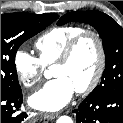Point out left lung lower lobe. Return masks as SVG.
Here are the masks:
<instances>
[{
	"label": "left lung lower lobe",
	"instance_id": "left-lung-lower-lobe-1",
	"mask_svg": "<svg viewBox=\"0 0 123 123\" xmlns=\"http://www.w3.org/2000/svg\"><path fill=\"white\" fill-rule=\"evenodd\" d=\"M73 112L77 123H123V89L90 93Z\"/></svg>",
	"mask_w": 123,
	"mask_h": 123
}]
</instances>
